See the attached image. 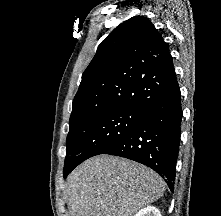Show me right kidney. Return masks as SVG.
Returning a JSON list of instances; mask_svg holds the SVG:
<instances>
[{
  "instance_id": "1",
  "label": "right kidney",
  "mask_w": 221,
  "mask_h": 216,
  "mask_svg": "<svg viewBox=\"0 0 221 216\" xmlns=\"http://www.w3.org/2000/svg\"><path fill=\"white\" fill-rule=\"evenodd\" d=\"M134 216H162L160 211L154 206H148L141 209Z\"/></svg>"
}]
</instances>
